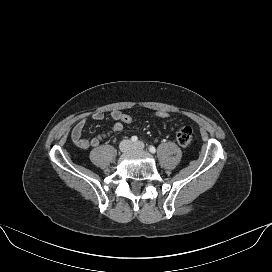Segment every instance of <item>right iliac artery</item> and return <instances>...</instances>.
<instances>
[{"mask_svg":"<svg viewBox=\"0 0 272 272\" xmlns=\"http://www.w3.org/2000/svg\"><path fill=\"white\" fill-rule=\"evenodd\" d=\"M137 140H138V137H137V136H132V137H131V141H132V142H136Z\"/></svg>","mask_w":272,"mask_h":272,"instance_id":"1","label":"right iliac artery"}]
</instances>
